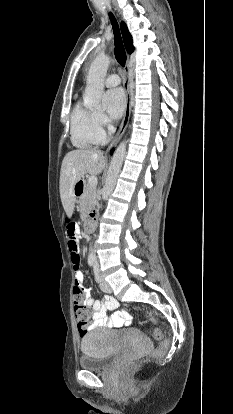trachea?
<instances>
[{
	"instance_id": "trachea-1",
	"label": "trachea",
	"mask_w": 233,
	"mask_h": 414,
	"mask_svg": "<svg viewBox=\"0 0 233 414\" xmlns=\"http://www.w3.org/2000/svg\"><path fill=\"white\" fill-rule=\"evenodd\" d=\"M109 16H110V20H111V23L113 26V32H114L115 58L117 62L119 63V65L124 67L126 63V53H125V49L123 46L121 34L119 31V26H118V23L114 15L111 12L109 13Z\"/></svg>"
}]
</instances>
